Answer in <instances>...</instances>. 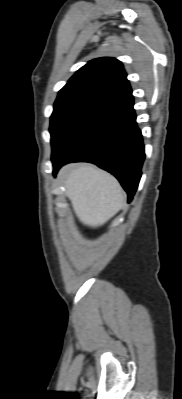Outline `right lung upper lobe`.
<instances>
[{"mask_svg":"<svg viewBox=\"0 0 182 399\" xmlns=\"http://www.w3.org/2000/svg\"><path fill=\"white\" fill-rule=\"evenodd\" d=\"M132 93L123 65L115 58L89 61L59 91L58 97L89 96L104 102Z\"/></svg>","mask_w":182,"mask_h":399,"instance_id":"obj_1","label":"right lung upper lobe"}]
</instances>
